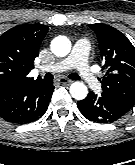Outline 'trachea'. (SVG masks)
I'll list each match as a JSON object with an SVG mask.
<instances>
[{
    "mask_svg": "<svg viewBox=\"0 0 135 165\" xmlns=\"http://www.w3.org/2000/svg\"><path fill=\"white\" fill-rule=\"evenodd\" d=\"M69 78H70V79H73V80H80L79 75H77V74H75V73L69 74ZM44 79H45V80H52V79H53V75H52L51 73H47V74L44 76Z\"/></svg>",
    "mask_w": 135,
    "mask_h": 165,
    "instance_id": "trachea-1",
    "label": "trachea"
}]
</instances>
